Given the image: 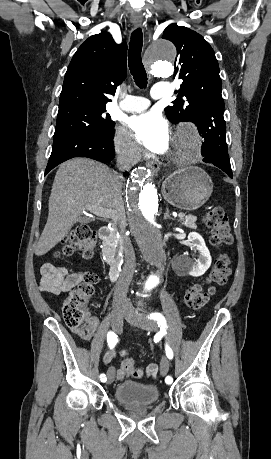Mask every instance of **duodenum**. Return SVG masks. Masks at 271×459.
I'll return each instance as SVG.
<instances>
[{"mask_svg": "<svg viewBox=\"0 0 271 459\" xmlns=\"http://www.w3.org/2000/svg\"><path fill=\"white\" fill-rule=\"evenodd\" d=\"M99 238L107 246L112 245L113 230L109 226H103L99 229ZM119 268L115 260H110V278L112 281L117 280L119 277Z\"/></svg>", "mask_w": 271, "mask_h": 459, "instance_id": "obj_1", "label": "duodenum"}]
</instances>
